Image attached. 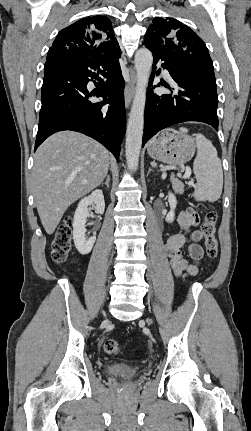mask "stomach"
<instances>
[{
  "label": "stomach",
  "instance_id": "1",
  "mask_svg": "<svg viewBox=\"0 0 251 431\" xmlns=\"http://www.w3.org/2000/svg\"><path fill=\"white\" fill-rule=\"evenodd\" d=\"M195 148L194 139L190 136L173 129H165L149 142L147 152L157 161L180 166L194 156Z\"/></svg>",
  "mask_w": 251,
  "mask_h": 431
}]
</instances>
